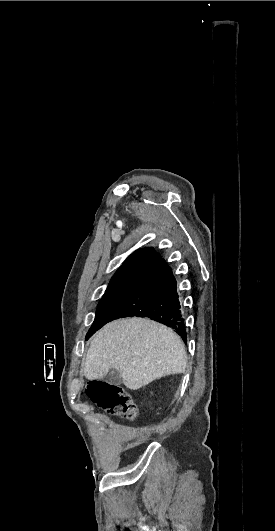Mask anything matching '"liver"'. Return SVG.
Here are the masks:
<instances>
[{
	"instance_id": "1",
	"label": "liver",
	"mask_w": 275,
	"mask_h": 531,
	"mask_svg": "<svg viewBox=\"0 0 275 531\" xmlns=\"http://www.w3.org/2000/svg\"><path fill=\"white\" fill-rule=\"evenodd\" d=\"M186 351L179 335L149 319H119L96 333L83 373L88 381L103 379L110 369L121 373L131 391L166 375L185 373Z\"/></svg>"
}]
</instances>
